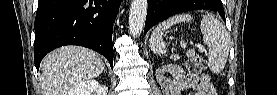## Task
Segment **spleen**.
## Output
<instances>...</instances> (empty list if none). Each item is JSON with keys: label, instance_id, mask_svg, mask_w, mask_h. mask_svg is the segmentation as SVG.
<instances>
[{"label": "spleen", "instance_id": "obj_1", "mask_svg": "<svg viewBox=\"0 0 277 95\" xmlns=\"http://www.w3.org/2000/svg\"><path fill=\"white\" fill-rule=\"evenodd\" d=\"M192 16L189 14H179L160 23L152 32L149 40V47L152 52L161 55L166 54V44L163 41V34L171 26L190 22ZM200 29L203 34V42L209 47L208 67L213 73L223 71L229 56V35L225 26L214 16L204 15Z\"/></svg>", "mask_w": 277, "mask_h": 95}]
</instances>
